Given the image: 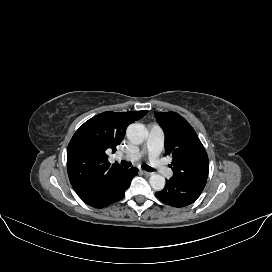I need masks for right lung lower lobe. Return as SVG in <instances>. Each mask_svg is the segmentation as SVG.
<instances>
[{"label": "right lung lower lobe", "mask_w": 272, "mask_h": 272, "mask_svg": "<svg viewBox=\"0 0 272 272\" xmlns=\"http://www.w3.org/2000/svg\"><path fill=\"white\" fill-rule=\"evenodd\" d=\"M137 173V168L117 169L100 182L77 194L91 207L98 209L106 207L125 196V191L129 188L131 180Z\"/></svg>", "instance_id": "obj_1"}]
</instances>
